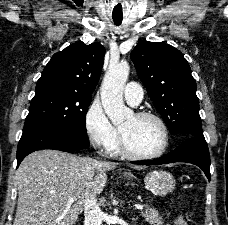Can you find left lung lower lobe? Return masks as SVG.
Segmentation results:
<instances>
[{"mask_svg": "<svg viewBox=\"0 0 228 225\" xmlns=\"http://www.w3.org/2000/svg\"><path fill=\"white\" fill-rule=\"evenodd\" d=\"M174 162L192 163L200 167L210 181V155L203 137H188L172 152L154 160L133 161L138 165H160Z\"/></svg>", "mask_w": 228, "mask_h": 225, "instance_id": "left-lung-lower-lobe-1", "label": "left lung lower lobe"}]
</instances>
